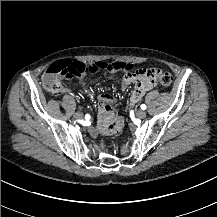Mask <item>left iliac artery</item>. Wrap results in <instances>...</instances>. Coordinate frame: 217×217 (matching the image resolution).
I'll return each mask as SVG.
<instances>
[{
	"mask_svg": "<svg viewBox=\"0 0 217 217\" xmlns=\"http://www.w3.org/2000/svg\"><path fill=\"white\" fill-rule=\"evenodd\" d=\"M141 109H142V110H145V109H146V105H145V104H142V105H141Z\"/></svg>",
	"mask_w": 217,
	"mask_h": 217,
	"instance_id": "obj_1",
	"label": "left iliac artery"
}]
</instances>
